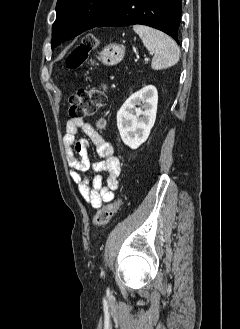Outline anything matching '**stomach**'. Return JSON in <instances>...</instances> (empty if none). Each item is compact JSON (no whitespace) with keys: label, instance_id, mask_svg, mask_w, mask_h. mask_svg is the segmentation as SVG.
<instances>
[{"label":"stomach","instance_id":"obj_1","mask_svg":"<svg viewBox=\"0 0 240 329\" xmlns=\"http://www.w3.org/2000/svg\"><path fill=\"white\" fill-rule=\"evenodd\" d=\"M124 55V46L110 44L99 53L97 58L105 65H115L123 59Z\"/></svg>","mask_w":240,"mask_h":329}]
</instances>
